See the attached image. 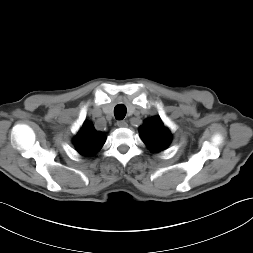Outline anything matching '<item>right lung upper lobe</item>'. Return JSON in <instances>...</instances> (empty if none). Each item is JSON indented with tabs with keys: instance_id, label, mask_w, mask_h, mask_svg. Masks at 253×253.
I'll list each match as a JSON object with an SVG mask.
<instances>
[{
	"instance_id": "1",
	"label": "right lung upper lobe",
	"mask_w": 253,
	"mask_h": 253,
	"mask_svg": "<svg viewBox=\"0 0 253 253\" xmlns=\"http://www.w3.org/2000/svg\"><path fill=\"white\" fill-rule=\"evenodd\" d=\"M105 140L103 132L96 131L91 122L85 121L73 143L80 154L92 156L101 149Z\"/></svg>"
}]
</instances>
